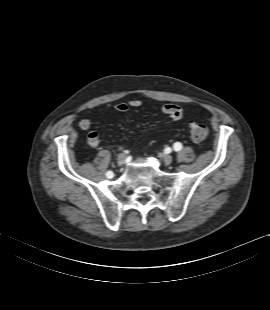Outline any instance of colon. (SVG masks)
I'll list each match as a JSON object with an SVG mask.
<instances>
[{"label":"colon","instance_id":"colon-1","mask_svg":"<svg viewBox=\"0 0 270 310\" xmlns=\"http://www.w3.org/2000/svg\"><path fill=\"white\" fill-rule=\"evenodd\" d=\"M191 138L195 142H202L207 138L208 128L204 124L193 123L190 126Z\"/></svg>","mask_w":270,"mask_h":310}]
</instances>
